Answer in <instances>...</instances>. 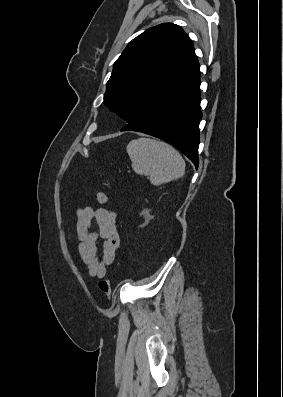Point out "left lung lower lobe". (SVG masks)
<instances>
[{"label": "left lung lower lobe", "instance_id": "obj_1", "mask_svg": "<svg viewBox=\"0 0 283 397\" xmlns=\"http://www.w3.org/2000/svg\"><path fill=\"white\" fill-rule=\"evenodd\" d=\"M200 72L144 110L121 131L142 132L162 139L187 156L198 168L200 140Z\"/></svg>", "mask_w": 283, "mask_h": 397}]
</instances>
